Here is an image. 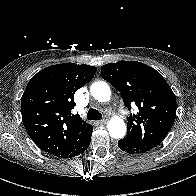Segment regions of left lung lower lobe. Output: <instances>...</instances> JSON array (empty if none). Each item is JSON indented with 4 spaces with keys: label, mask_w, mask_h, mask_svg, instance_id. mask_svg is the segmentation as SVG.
<instances>
[{
    "label": "left lung lower lobe",
    "mask_w": 196,
    "mask_h": 196,
    "mask_svg": "<svg viewBox=\"0 0 196 196\" xmlns=\"http://www.w3.org/2000/svg\"><path fill=\"white\" fill-rule=\"evenodd\" d=\"M118 146L120 147V149L129 154L145 153L150 150L149 148L135 144L126 138L119 140Z\"/></svg>",
    "instance_id": "left-lung-lower-lobe-1"
}]
</instances>
